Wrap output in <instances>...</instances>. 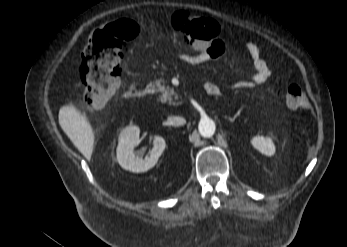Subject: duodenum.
<instances>
[{"mask_svg":"<svg viewBox=\"0 0 347 247\" xmlns=\"http://www.w3.org/2000/svg\"><path fill=\"white\" fill-rule=\"evenodd\" d=\"M206 92L210 96L216 95V91L214 89H206ZM150 93V89L147 87H134L129 89L126 92L127 97H132V98H142L147 96Z\"/></svg>","mask_w":347,"mask_h":247,"instance_id":"410a0bca","label":"duodenum"}]
</instances>
